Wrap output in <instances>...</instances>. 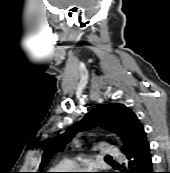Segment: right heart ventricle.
<instances>
[{"mask_svg": "<svg viewBox=\"0 0 170 173\" xmlns=\"http://www.w3.org/2000/svg\"><path fill=\"white\" fill-rule=\"evenodd\" d=\"M58 168L61 169L62 171H69L73 168V164L72 162L65 160L60 163Z\"/></svg>", "mask_w": 170, "mask_h": 173, "instance_id": "obj_1", "label": "right heart ventricle"}]
</instances>
